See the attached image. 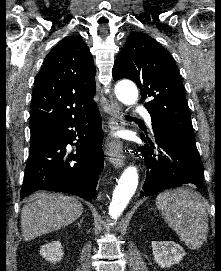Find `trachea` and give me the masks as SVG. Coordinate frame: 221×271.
Returning a JSON list of instances; mask_svg holds the SVG:
<instances>
[{
  "instance_id": "obj_1",
  "label": "trachea",
  "mask_w": 221,
  "mask_h": 271,
  "mask_svg": "<svg viewBox=\"0 0 221 271\" xmlns=\"http://www.w3.org/2000/svg\"><path fill=\"white\" fill-rule=\"evenodd\" d=\"M128 120H131V119H134L135 117H132V116H129V115H126L125 116Z\"/></svg>"
}]
</instances>
